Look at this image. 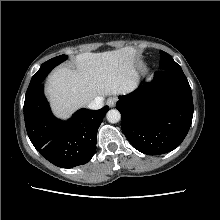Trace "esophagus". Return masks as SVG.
Instances as JSON below:
<instances>
[{
	"label": "esophagus",
	"mask_w": 220,
	"mask_h": 220,
	"mask_svg": "<svg viewBox=\"0 0 220 220\" xmlns=\"http://www.w3.org/2000/svg\"><path fill=\"white\" fill-rule=\"evenodd\" d=\"M116 102H117V99L116 98H114V97H111V98H108V100H107V105L109 106V107H114L115 105H116Z\"/></svg>",
	"instance_id": "esophagus-1"
}]
</instances>
